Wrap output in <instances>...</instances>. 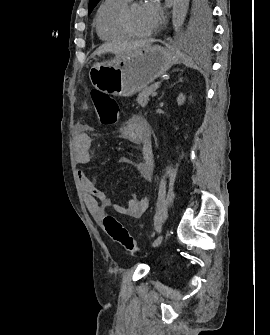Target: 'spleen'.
Wrapping results in <instances>:
<instances>
[{"label": "spleen", "mask_w": 270, "mask_h": 335, "mask_svg": "<svg viewBox=\"0 0 270 335\" xmlns=\"http://www.w3.org/2000/svg\"><path fill=\"white\" fill-rule=\"evenodd\" d=\"M182 60H184L185 64H190L188 58L186 56H182Z\"/></svg>", "instance_id": "1"}]
</instances>
